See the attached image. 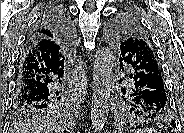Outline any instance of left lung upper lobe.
Listing matches in <instances>:
<instances>
[{
    "instance_id": "obj_1",
    "label": "left lung upper lobe",
    "mask_w": 184,
    "mask_h": 133,
    "mask_svg": "<svg viewBox=\"0 0 184 133\" xmlns=\"http://www.w3.org/2000/svg\"><path fill=\"white\" fill-rule=\"evenodd\" d=\"M108 35L116 47L121 69L128 66L134 68L136 64L143 62L162 75L151 39L134 16L125 15L112 20L108 26ZM132 91V87H128L122 88L118 93L119 110L131 117L143 118L135 111L136 102Z\"/></svg>"
}]
</instances>
